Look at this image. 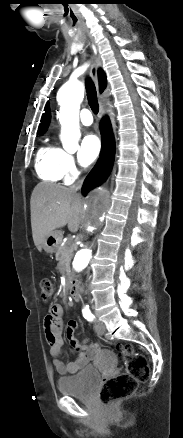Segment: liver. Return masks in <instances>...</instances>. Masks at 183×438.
<instances>
[{
    "label": "liver",
    "mask_w": 183,
    "mask_h": 438,
    "mask_svg": "<svg viewBox=\"0 0 183 438\" xmlns=\"http://www.w3.org/2000/svg\"><path fill=\"white\" fill-rule=\"evenodd\" d=\"M30 204L32 236L38 250L56 229L68 225L71 232L78 230L83 201L71 188L41 182L34 188Z\"/></svg>",
    "instance_id": "6515ba94"
}]
</instances>
